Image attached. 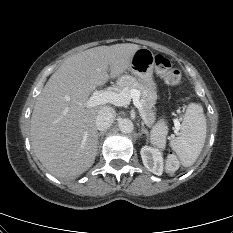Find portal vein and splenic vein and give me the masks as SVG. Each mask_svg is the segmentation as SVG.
I'll list each match as a JSON object with an SVG mask.
<instances>
[{
    "instance_id": "obj_1",
    "label": "portal vein and splenic vein",
    "mask_w": 233,
    "mask_h": 233,
    "mask_svg": "<svg viewBox=\"0 0 233 233\" xmlns=\"http://www.w3.org/2000/svg\"><path fill=\"white\" fill-rule=\"evenodd\" d=\"M131 99H133L134 106L139 110L142 119L146 123V117L143 113L142 104L140 102V92L136 89L128 90L127 88H124L119 93L114 91L95 90L85 104L87 107H95L106 103H111L115 106H125L130 103ZM174 123L176 129H178L179 121L175 120Z\"/></svg>"
}]
</instances>
